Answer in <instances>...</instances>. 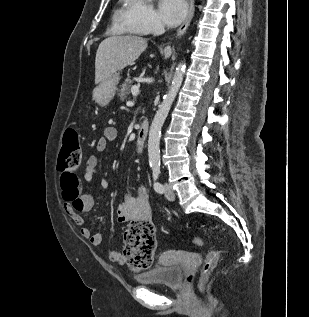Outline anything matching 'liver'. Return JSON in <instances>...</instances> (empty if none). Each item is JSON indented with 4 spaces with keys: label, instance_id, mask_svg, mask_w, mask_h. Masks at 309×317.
I'll return each mask as SVG.
<instances>
[{
    "label": "liver",
    "instance_id": "liver-1",
    "mask_svg": "<svg viewBox=\"0 0 309 317\" xmlns=\"http://www.w3.org/2000/svg\"><path fill=\"white\" fill-rule=\"evenodd\" d=\"M147 48V40L135 35L111 36L104 39L96 52L95 84H101L138 59ZM172 53L171 47L164 49L165 58Z\"/></svg>",
    "mask_w": 309,
    "mask_h": 317
}]
</instances>
